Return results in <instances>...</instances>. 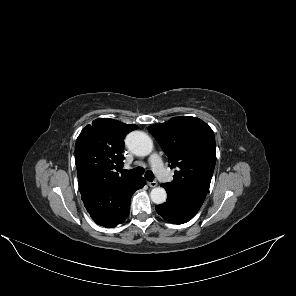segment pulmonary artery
Segmentation results:
<instances>
[{
  "label": "pulmonary artery",
  "instance_id": "pulmonary-artery-1",
  "mask_svg": "<svg viewBox=\"0 0 296 296\" xmlns=\"http://www.w3.org/2000/svg\"><path fill=\"white\" fill-rule=\"evenodd\" d=\"M149 162L159 178L163 180H167L169 178V174L163 165L161 157L158 154H153L150 157Z\"/></svg>",
  "mask_w": 296,
  "mask_h": 296
}]
</instances>
